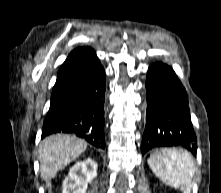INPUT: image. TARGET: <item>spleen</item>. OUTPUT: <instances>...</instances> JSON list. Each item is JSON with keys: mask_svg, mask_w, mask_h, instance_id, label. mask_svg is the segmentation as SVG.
I'll return each mask as SVG.
<instances>
[{"mask_svg": "<svg viewBox=\"0 0 221 193\" xmlns=\"http://www.w3.org/2000/svg\"><path fill=\"white\" fill-rule=\"evenodd\" d=\"M148 165L162 182L190 193L195 167L188 152L165 148L154 152L148 159Z\"/></svg>", "mask_w": 221, "mask_h": 193, "instance_id": "3e777b00", "label": "spleen"}]
</instances>
